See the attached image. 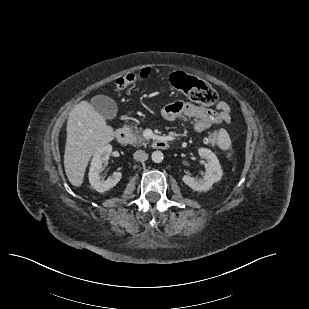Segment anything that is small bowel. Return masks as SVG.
Wrapping results in <instances>:
<instances>
[{
    "mask_svg": "<svg viewBox=\"0 0 309 309\" xmlns=\"http://www.w3.org/2000/svg\"><path fill=\"white\" fill-rule=\"evenodd\" d=\"M161 116L174 121L184 116L192 120L193 127L198 132H203L211 126L231 122V108L226 102H219L215 109L197 106L187 101H176L159 110Z\"/></svg>",
    "mask_w": 309,
    "mask_h": 309,
    "instance_id": "small-bowel-1",
    "label": "small bowel"
}]
</instances>
